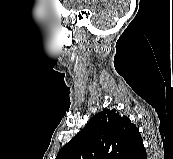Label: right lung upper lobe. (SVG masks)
<instances>
[{
    "instance_id": "1",
    "label": "right lung upper lobe",
    "mask_w": 173,
    "mask_h": 159,
    "mask_svg": "<svg viewBox=\"0 0 173 159\" xmlns=\"http://www.w3.org/2000/svg\"><path fill=\"white\" fill-rule=\"evenodd\" d=\"M145 150L138 128L115 109H104L57 154L56 159H135Z\"/></svg>"
}]
</instances>
